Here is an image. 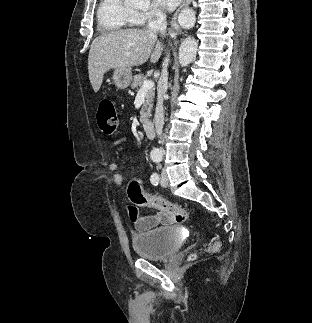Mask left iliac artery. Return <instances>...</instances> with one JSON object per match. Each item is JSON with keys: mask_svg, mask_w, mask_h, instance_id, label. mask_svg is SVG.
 Returning <instances> with one entry per match:
<instances>
[{"mask_svg": "<svg viewBox=\"0 0 312 323\" xmlns=\"http://www.w3.org/2000/svg\"><path fill=\"white\" fill-rule=\"evenodd\" d=\"M153 161L158 163V162L161 161V159L160 158H154ZM150 181H151V183L153 185H158V183H159V175L157 173H153L151 175Z\"/></svg>", "mask_w": 312, "mask_h": 323, "instance_id": "obj_1", "label": "left iliac artery"}]
</instances>
